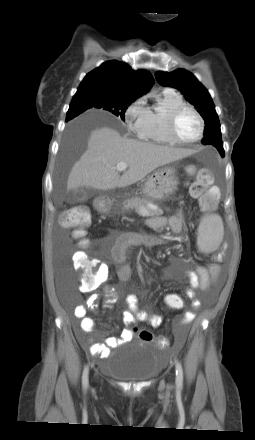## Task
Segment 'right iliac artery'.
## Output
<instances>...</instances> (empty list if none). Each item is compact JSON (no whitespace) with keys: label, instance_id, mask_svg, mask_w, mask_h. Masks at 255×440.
Listing matches in <instances>:
<instances>
[{"label":"right iliac artery","instance_id":"right-iliac-artery-1","mask_svg":"<svg viewBox=\"0 0 255 440\" xmlns=\"http://www.w3.org/2000/svg\"><path fill=\"white\" fill-rule=\"evenodd\" d=\"M88 372H89V367L85 366L84 371H83V375H82V384H83L84 390H86L88 387Z\"/></svg>","mask_w":255,"mask_h":440}]
</instances>
